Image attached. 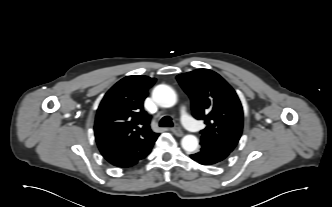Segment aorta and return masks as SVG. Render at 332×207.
Instances as JSON below:
<instances>
[{
	"instance_id": "obj_1",
	"label": "aorta",
	"mask_w": 332,
	"mask_h": 207,
	"mask_svg": "<svg viewBox=\"0 0 332 207\" xmlns=\"http://www.w3.org/2000/svg\"><path fill=\"white\" fill-rule=\"evenodd\" d=\"M152 97L161 107L169 108L176 104L177 96L175 91L168 85L161 84L154 88ZM199 141L194 135H186L181 140L182 148L187 152H194L198 148Z\"/></svg>"
}]
</instances>
